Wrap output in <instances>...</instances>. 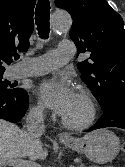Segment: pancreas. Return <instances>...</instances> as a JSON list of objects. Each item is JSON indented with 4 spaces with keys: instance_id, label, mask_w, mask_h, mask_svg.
I'll use <instances>...</instances> for the list:
<instances>
[{
    "instance_id": "1",
    "label": "pancreas",
    "mask_w": 125,
    "mask_h": 167,
    "mask_svg": "<svg viewBox=\"0 0 125 167\" xmlns=\"http://www.w3.org/2000/svg\"><path fill=\"white\" fill-rule=\"evenodd\" d=\"M78 167H84V165L81 164ZM91 167H98V166H91Z\"/></svg>"
}]
</instances>
